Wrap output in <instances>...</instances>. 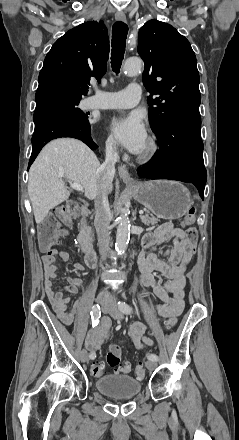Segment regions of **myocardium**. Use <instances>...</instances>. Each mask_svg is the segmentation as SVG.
I'll return each mask as SVG.
<instances>
[{
    "label": "myocardium",
    "instance_id": "f54148a6",
    "mask_svg": "<svg viewBox=\"0 0 239 440\" xmlns=\"http://www.w3.org/2000/svg\"><path fill=\"white\" fill-rule=\"evenodd\" d=\"M159 150L160 146L157 139L151 136L149 137L145 148L138 155L137 159L141 162H150L157 157Z\"/></svg>",
    "mask_w": 239,
    "mask_h": 440
}]
</instances>
